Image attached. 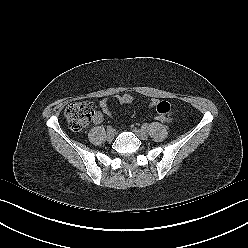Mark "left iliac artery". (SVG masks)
<instances>
[{
    "mask_svg": "<svg viewBox=\"0 0 248 248\" xmlns=\"http://www.w3.org/2000/svg\"><path fill=\"white\" fill-rule=\"evenodd\" d=\"M142 129L143 130H148V125L147 124L142 125Z\"/></svg>",
    "mask_w": 248,
    "mask_h": 248,
    "instance_id": "1",
    "label": "left iliac artery"
}]
</instances>
